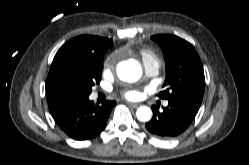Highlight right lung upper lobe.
Wrapping results in <instances>:
<instances>
[{"mask_svg": "<svg viewBox=\"0 0 249 165\" xmlns=\"http://www.w3.org/2000/svg\"><path fill=\"white\" fill-rule=\"evenodd\" d=\"M112 44L111 39L90 35L78 36L66 42L56 53L46 80L47 101L71 96L63 80V69L68 59L87 55L103 58L105 51Z\"/></svg>", "mask_w": 249, "mask_h": 165, "instance_id": "1", "label": "right lung upper lobe"}]
</instances>
